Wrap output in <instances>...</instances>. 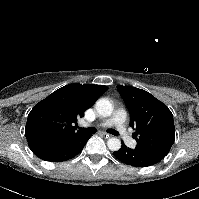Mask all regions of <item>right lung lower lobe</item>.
<instances>
[{
    "instance_id": "right-lung-lower-lobe-1",
    "label": "right lung lower lobe",
    "mask_w": 199,
    "mask_h": 199,
    "mask_svg": "<svg viewBox=\"0 0 199 199\" xmlns=\"http://www.w3.org/2000/svg\"><path fill=\"white\" fill-rule=\"evenodd\" d=\"M91 136L90 134L82 133L60 143L39 145L30 149L42 160L50 162L65 161L79 154Z\"/></svg>"
}]
</instances>
